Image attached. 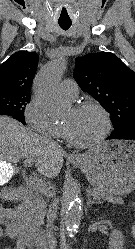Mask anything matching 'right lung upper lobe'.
Returning <instances> with one entry per match:
<instances>
[{"label":"right lung upper lobe","mask_w":135,"mask_h":249,"mask_svg":"<svg viewBox=\"0 0 135 249\" xmlns=\"http://www.w3.org/2000/svg\"><path fill=\"white\" fill-rule=\"evenodd\" d=\"M39 61L35 52L20 51L0 65V92L30 94Z\"/></svg>","instance_id":"cb5924a9"}]
</instances>
